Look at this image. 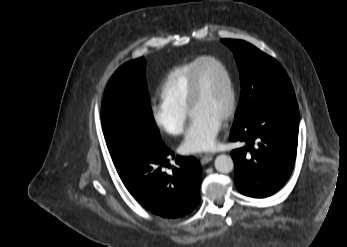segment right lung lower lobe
Returning <instances> with one entry per match:
<instances>
[{
	"instance_id": "98d812e1",
	"label": "right lung lower lobe",
	"mask_w": 347,
	"mask_h": 247,
	"mask_svg": "<svg viewBox=\"0 0 347 247\" xmlns=\"http://www.w3.org/2000/svg\"><path fill=\"white\" fill-rule=\"evenodd\" d=\"M128 191L148 210L164 218H178L191 213L199 204L201 166L193 157H176L163 144L158 150L136 142H125L111 156Z\"/></svg>"
}]
</instances>
